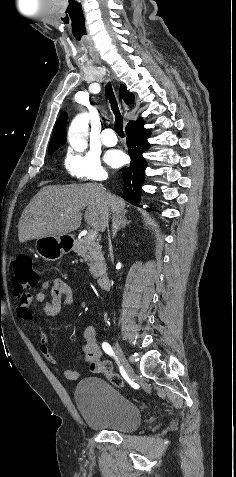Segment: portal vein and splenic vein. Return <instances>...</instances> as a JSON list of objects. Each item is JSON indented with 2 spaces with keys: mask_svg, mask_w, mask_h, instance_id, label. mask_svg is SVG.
Listing matches in <instances>:
<instances>
[{
  "mask_svg": "<svg viewBox=\"0 0 236 477\" xmlns=\"http://www.w3.org/2000/svg\"><path fill=\"white\" fill-rule=\"evenodd\" d=\"M98 232L97 230H89L87 238L89 240H95L97 238Z\"/></svg>",
  "mask_w": 236,
  "mask_h": 477,
  "instance_id": "18ae733b",
  "label": "portal vein and splenic vein"
}]
</instances>
